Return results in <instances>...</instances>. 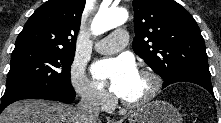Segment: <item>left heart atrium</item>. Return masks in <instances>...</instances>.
<instances>
[{
	"mask_svg": "<svg viewBox=\"0 0 221 123\" xmlns=\"http://www.w3.org/2000/svg\"><path fill=\"white\" fill-rule=\"evenodd\" d=\"M91 73L99 83H107L110 90L121 97L138 71L131 58L121 56L95 62Z\"/></svg>",
	"mask_w": 221,
	"mask_h": 123,
	"instance_id": "1",
	"label": "left heart atrium"
}]
</instances>
